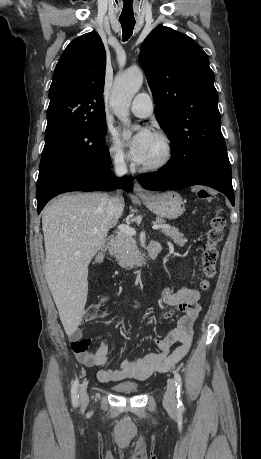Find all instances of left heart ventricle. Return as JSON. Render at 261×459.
Masks as SVG:
<instances>
[{"instance_id": "b2bd125f", "label": "left heart ventricle", "mask_w": 261, "mask_h": 459, "mask_svg": "<svg viewBox=\"0 0 261 459\" xmlns=\"http://www.w3.org/2000/svg\"><path fill=\"white\" fill-rule=\"evenodd\" d=\"M163 153L164 146L162 142L154 136L148 148L146 160L143 164H149L159 160L162 157Z\"/></svg>"}]
</instances>
